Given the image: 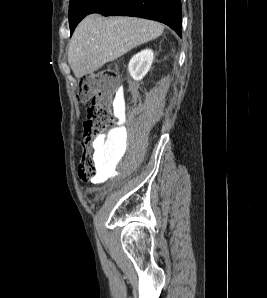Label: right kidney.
Here are the masks:
<instances>
[{
	"mask_svg": "<svg viewBox=\"0 0 267 298\" xmlns=\"http://www.w3.org/2000/svg\"><path fill=\"white\" fill-rule=\"evenodd\" d=\"M153 58V51L150 49L142 50L131 58L128 64V70L135 81L141 80L147 74L152 65Z\"/></svg>",
	"mask_w": 267,
	"mask_h": 298,
	"instance_id": "1",
	"label": "right kidney"
}]
</instances>
